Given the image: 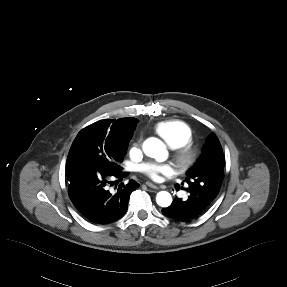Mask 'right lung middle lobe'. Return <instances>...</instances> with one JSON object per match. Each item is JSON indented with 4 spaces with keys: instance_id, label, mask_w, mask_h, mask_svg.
<instances>
[{
    "instance_id": "right-lung-middle-lobe-1",
    "label": "right lung middle lobe",
    "mask_w": 287,
    "mask_h": 287,
    "mask_svg": "<svg viewBox=\"0 0 287 287\" xmlns=\"http://www.w3.org/2000/svg\"><path fill=\"white\" fill-rule=\"evenodd\" d=\"M127 145L103 143L91 131L84 128L78 133L70 148L67 165L80 161H91L107 169L120 170V163L126 154Z\"/></svg>"
}]
</instances>
